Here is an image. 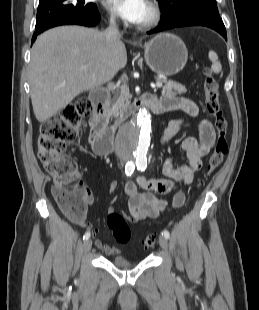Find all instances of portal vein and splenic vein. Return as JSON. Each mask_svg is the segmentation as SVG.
Instances as JSON below:
<instances>
[{"mask_svg":"<svg viewBox=\"0 0 259 310\" xmlns=\"http://www.w3.org/2000/svg\"><path fill=\"white\" fill-rule=\"evenodd\" d=\"M82 69H86V65H83V66H82ZM155 86H156L157 88H161V87L163 86V84H162V82L158 81V82H156Z\"/></svg>","mask_w":259,"mask_h":310,"instance_id":"portal-vein-and-splenic-vein-1","label":"portal vein and splenic vein"}]
</instances>
